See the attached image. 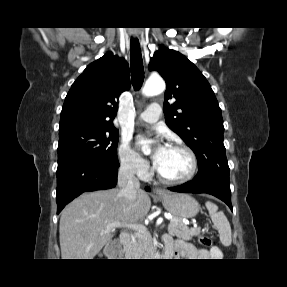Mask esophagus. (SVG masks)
Wrapping results in <instances>:
<instances>
[{
  "label": "esophagus",
  "instance_id": "34e87169",
  "mask_svg": "<svg viewBox=\"0 0 287 287\" xmlns=\"http://www.w3.org/2000/svg\"><path fill=\"white\" fill-rule=\"evenodd\" d=\"M153 193L157 194V195H161V194L165 193V190L162 189V188L156 187V188L153 189Z\"/></svg>",
  "mask_w": 287,
  "mask_h": 287
}]
</instances>
